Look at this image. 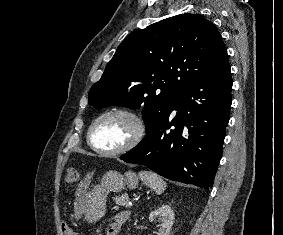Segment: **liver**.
<instances>
[{"label":"liver","mask_w":283,"mask_h":235,"mask_svg":"<svg viewBox=\"0 0 283 235\" xmlns=\"http://www.w3.org/2000/svg\"><path fill=\"white\" fill-rule=\"evenodd\" d=\"M94 172H91L89 174H87V176L84 178V180L82 182H80L79 184V188L77 190L76 195L78 196L77 199V207L80 208L79 204H80V197L82 195H84L86 193V190L91 182V178L93 177Z\"/></svg>","instance_id":"liver-1"}]
</instances>
